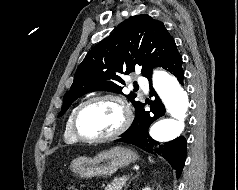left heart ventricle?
<instances>
[{
    "mask_svg": "<svg viewBox=\"0 0 238 190\" xmlns=\"http://www.w3.org/2000/svg\"><path fill=\"white\" fill-rule=\"evenodd\" d=\"M122 119V111L115 102L96 101L81 112L78 127L85 136H104L115 131L120 126Z\"/></svg>",
    "mask_w": 238,
    "mask_h": 190,
    "instance_id": "left-heart-ventricle-1",
    "label": "left heart ventricle"
}]
</instances>
